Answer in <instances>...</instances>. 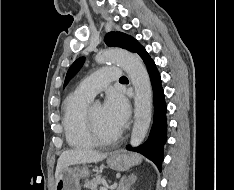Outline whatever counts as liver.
<instances>
[{
	"mask_svg": "<svg viewBox=\"0 0 234 190\" xmlns=\"http://www.w3.org/2000/svg\"><path fill=\"white\" fill-rule=\"evenodd\" d=\"M107 157V153H99L93 150L87 149H74L64 151L58 161L55 171V177H57L60 172L70 166L81 163H98Z\"/></svg>",
	"mask_w": 234,
	"mask_h": 190,
	"instance_id": "1",
	"label": "liver"
}]
</instances>
